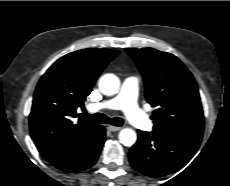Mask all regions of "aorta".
I'll return each instance as SVG.
<instances>
[{"label":"aorta","mask_w":230,"mask_h":186,"mask_svg":"<svg viewBox=\"0 0 230 186\" xmlns=\"http://www.w3.org/2000/svg\"><path fill=\"white\" fill-rule=\"evenodd\" d=\"M120 80L114 74H105L99 80L100 91L107 96L118 93ZM137 140V134L133 129L124 128L119 132V141L124 146H132Z\"/></svg>","instance_id":"762f6f07"}]
</instances>
